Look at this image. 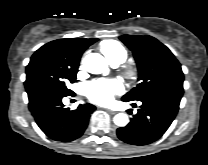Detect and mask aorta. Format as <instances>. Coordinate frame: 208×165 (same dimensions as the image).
Listing matches in <instances>:
<instances>
[{"instance_id":"762f6f07","label":"aorta","mask_w":208,"mask_h":165,"mask_svg":"<svg viewBox=\"0 0 208 165\" xmlns=\"http://www.w3.org/2000/svg\"><path fill=\"white\" fill-rule=\"evenodd\" d=\"M85 69L92 74H101L107 71V63L105 58L98 53H90L84 58ZM114 123L119 127H124L128 124L129 118L125 113H118L114 116Z\"/></svg>"}]
</instances>
